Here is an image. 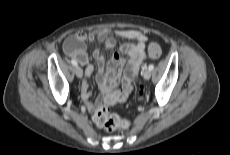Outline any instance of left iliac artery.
<instances>
[{
    "mask_svg": "<svg viewBox=\"0 0 230 155\" xmlns=\"http://www.w3.org/2000/svg\"><path fill=\"white\" fill-rule=\"evenodd\" d=\"M148 69H149L150 71H152V70L154 69V65H153V64H150L149 67H148Z\"/></svg>",
    "mask_w": 230,
    "mask_h": 155,
    "instance_id": "44dca946",
    "label": "left iliac artery"
}]
</instances>
